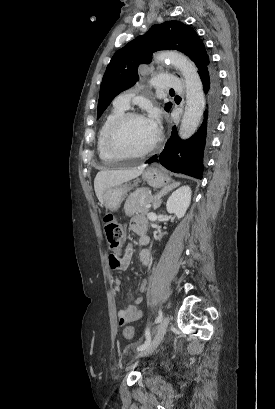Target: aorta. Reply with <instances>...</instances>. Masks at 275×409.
<instances>
[{
	"label": "aorta",
	"instance_id": "obj_1",
	"mask_svg": "<svg viewBox=\"0 0 275 409\" xmlns=\"http://www.w3.org/2000/svg\"><path fill=\"white\" fill-rule=\"evenodd\" d=\"M155 58L176 66L185 80L186 106L179 128V136L189 138L194 134L202 118L205 104L203 86L197 68L192 60L177 50L159 52Z\"/></svg>",
	"mask_w": 275,
	"mask_h": 409
}]
</instances>
